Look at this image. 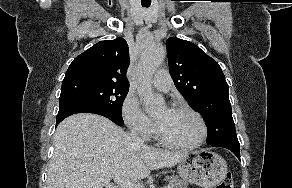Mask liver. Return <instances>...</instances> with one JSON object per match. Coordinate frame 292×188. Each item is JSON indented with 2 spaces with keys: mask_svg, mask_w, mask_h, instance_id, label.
<instances>
[{
  "mask_svg": "<svg viewBox=\"0 0 292 188\" xmlns=\"http://www.w3.org/2000/svg\"><path fill=\"white\" fill-rule=\"evenodd\" d=\"M185 156L137 145L105 117L79 113L56 129L46 188H104L112 177L144 179L151 170L173 167Z\"/></svg>",
  "mask_w": 292,
  "mask_h": 188,
  "instance_id": "1",
  "label": "liver"
}]
</instances>
